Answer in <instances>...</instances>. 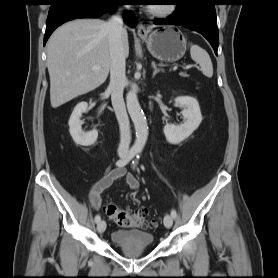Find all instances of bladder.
I'll return each mask as SVG.
<instances>
[{"mask_svg": "<svg viewBox=\"0 0 278 278\" xmlns=\"http://www.w3.org/2000/svg\"><path fill=\"white\" fill-rule=\"evenodd\" d=\"M110 239L114 245L125 248H147L154 243L152 233L139 229L115 230Z\"/></svg>", "mask_w": 278, "mask_h": 278, "instance_id": "obj_1", "label": "bladder"}]
</instances>
